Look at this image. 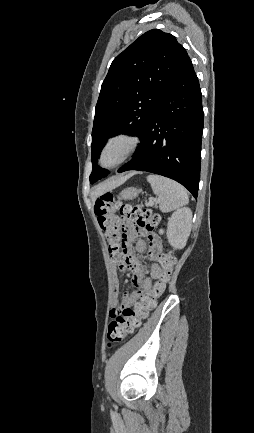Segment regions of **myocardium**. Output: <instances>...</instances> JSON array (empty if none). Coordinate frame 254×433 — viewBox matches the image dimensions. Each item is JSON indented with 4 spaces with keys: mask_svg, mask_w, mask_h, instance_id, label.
<instances>
[{
    "mask_svg": "<svg viewBox=\"0 0 254 433\" xmlns=\"http://www.w3.org/2000/svg\"><path fill=\"white\" fill-rule=\"evenodd\" d=\"M116 141H124L126 143V148L121 156V158L112 165H104L103 164V156L108 147L116 142ZM140 146V139L135 134L127 131H122L111 135L103 144L100 154H99V164L107 169H112L120 166L125 163L128 159H130L138 150Z\"/></svg>",
    "mask_w": 254,
    "mask_h": 433,
    "instance_id": "myocardium-1",
    "label": "myocardium"
}]
</instances>
